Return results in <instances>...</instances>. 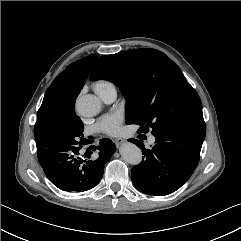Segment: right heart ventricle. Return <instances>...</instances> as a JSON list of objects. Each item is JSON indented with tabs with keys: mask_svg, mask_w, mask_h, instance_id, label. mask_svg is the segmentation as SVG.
<instances>
[{
	"mask_svg": "<svg viewBox=\"0 0 241 241\" xmlns=\"http://www.w3.org/2000/svg\"><path fill=\"white\" fill-rule=\"evenodd\" d=\"M114 86L112 83H110L109 81L106 80H99L96 81L93 85L94 90L96 91V93H100L110 87Z\"/></svg>",
	"mask_w": 241,
	"mask_h": 241,
	"instance_id": "e07e8e85",
	"label": "right heart ventricle"
}]
</instances>
